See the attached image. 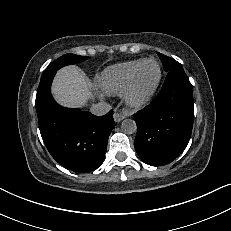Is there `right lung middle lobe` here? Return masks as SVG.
Masks as SVG:
<instances>
[{
    "instance_id": "dd1d6c3e",
    "label": "right lung middle lobe",
    "mask_w": 231,
    "mask_h": 231,
    "mask_svg": "<svg viewBox=\"0 0 231 231\" xmlns=\"http://www.w3.org/2000/svg\"><path fill=\"white\" fill-rule=\"evenodd\" d=\"M87 59V56H78L74 54H65L51 63L46 70L43 72L42 77L50 74L51 72H56L63 66L72 65L75 63L82 62Z\"/></svg>"
}]
</instances>
